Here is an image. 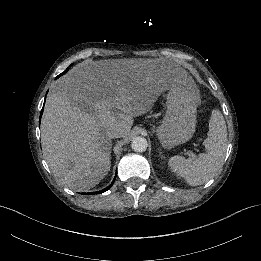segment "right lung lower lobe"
<instances>
[{
  "mask_svg": "<svg viewBox=\"0 0 261 261\" xmlns=\"http://www.w3.org/2000/svg\"><path fill=\"white\" fill-rule=\"evenodd\" d=\"M42 112H43V108H42V111H41V113H40V119H41ZM114 181H115V179L113 180V182H112L108 187H106L105 189H103V190H101V191L91 192V193H83V194H84V195H91V194L103 193V192H105V191H107L108 189L111 188V186L113 185Z\"/></svg>",
  "mask_w": 261,
  "mask_h": 261,
  "instance_id": "obj_1",
  "label": "right lung lower lobe"
}]
</instances>
